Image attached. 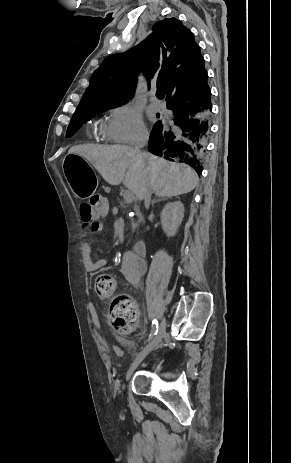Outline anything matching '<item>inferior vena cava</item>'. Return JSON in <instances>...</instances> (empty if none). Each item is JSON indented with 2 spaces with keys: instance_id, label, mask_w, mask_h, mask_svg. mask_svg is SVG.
I'll use <instances>...</instances> for the list:
<instances>
[{
  "instance_id": "obj_1",
  "label": "inferior vena cava",
  "mask_w": 291,
  "mask_h": 463,
  "mask_svg": "<svg viewBox=\"0 0 291 463\" xmlns=\"http://www.w3.org/2000/svg\"><path fill=\"white\" fill-rule=\"evenodd\" d=\"M148 141V135L142 136L135 144H134V152L140 153V149L143 148ZM151 194L152 190L149 184H146L143 189V199L146 209L149 208L150 201H151Z\"/></svg>"
}]
</instances>
